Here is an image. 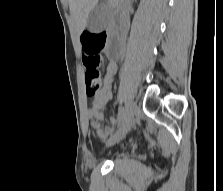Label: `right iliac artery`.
I'll return each instance as SVG.
<instances>
[{
    "mask_svg": "<svg viewBox=\"0 0 223 191\" xmlns=\"http://www.w3.org/2000/svg\"><path fill=\"white\" fill-rule=\"evenodd\" d=\"M119 113L124 117L125 113H126V106H122L119 109Z\"/></svg>",
    "mask_w": 223,
    "mask_h": 191,
    "instance_id": "82829eb1",
    "label": "right iliac artery"
}]
</instances>
